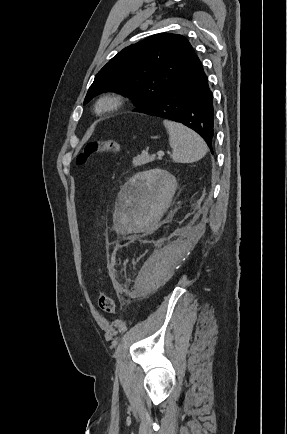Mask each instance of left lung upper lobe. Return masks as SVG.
<instances>
[{"mask_svg":"<svg viewBox=\"0 0 287 434\" xmlns=\"http://www.w3.org/2000/svg\"><path fill=\"white\" fill-rule=\"evenodd\" d=\"M199 58L177 34L152 35L115 55L95 76L84 100L116 91L133 98L135 112L153 106Z\"/></svg>","mask_w":287,"mask_h":434,"instance_id":"obj_1","label":"left lung upper lobe"}]
</instances>
